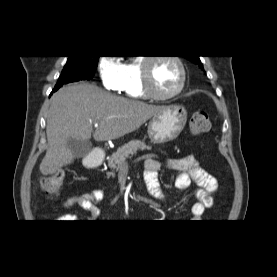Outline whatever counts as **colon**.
<instances>
[{
  "instance_id": "obj_1",
  "label": "colon",
  "mask_w": 277,
  "mask_h": 277,
  "mask_svg": "<svg viewBox=\"0 0 277 277\" xmlns=\"http://www.w3.org/2000/svg\"><path fill=\"white\" fill-rule=\"evenodd\" d=\"M189 130L193 136H202L210 132L211 121L204 111L193 113L189 121ZM64 183V172L56 170L49 176H45L40 181L41 189L47 194L58 192Z\"/></svg>"
}]
</instances>
